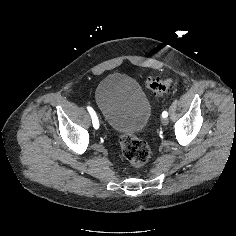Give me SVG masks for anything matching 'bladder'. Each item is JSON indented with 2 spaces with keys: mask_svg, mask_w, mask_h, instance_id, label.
<instances>
[{
  "mask_svg": "<svg viewBox=\"0 0 236 236\" xmlns=\"http://www.w3.org/2000/svg\"><path fill=\"white\" fill-rule=\"evenodd\" d=\"M95 103L108 126L120 135H135L146 126L151 107L148 98L128 75L110 74L96 87Z\"/></svg>",
  "mask_w": 236,
  "mask_h": 236,
  "instance_id": "1",
  "label": "bladder"
}]
</instances>
